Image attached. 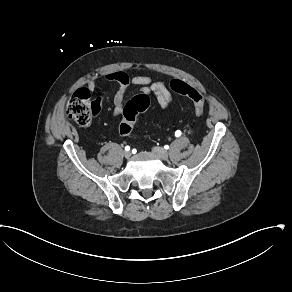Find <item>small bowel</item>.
Segmentation results:
<instances>
[{
	"label": "small bowel",
	"mask_w": 292,
	"mask_h": 292,
	"mask_svg": "<svg viewBox=\"0 0 292 292\" xmlns=\"http://www.w3.org/2000/svg\"><path fill=\"white\" fill-rule=\"evenodd\" d=\"M104 78L108 82L119 85V90L113 98V114L115 117H119L122 113L128 89L131 85L139 86V90L142 94L147 95L153 93L156 96L157 105L162 111H167L172 107V94L167 89L166 82L162 80H153L151 77L145 75L129 76L122 71L108 72L104 75ZM97 82V78H92L88 82L87 88L91 91L95 90L97 87Z\"/></svg>",
	"instance_id": "obj_1"
}]
</instances>
